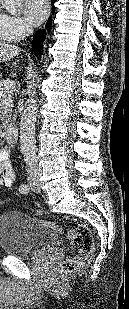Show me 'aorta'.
I'll return each instance as SVG.
<instances>
[{
  "label": "aorta",
  "mask_w": 129,
  "mask_h": 309,
  "mask_svg": "<svg viewBox=\"0 0 129 309\" xmlns=\"http://www.w3.org/2000/svg\"><path fill=\"white\" fill-rule=\"evenodd\" d=\"M24 0H4L5 8L11 15H16ZM41 82V73L36 77L31 93L25 101L20 120V145L27 158L36 156L35 123L37 117V88Z\"/></svg>",
  "instance_id": "1"
}]
</instances>
